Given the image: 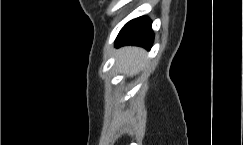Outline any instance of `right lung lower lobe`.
<instances>
[{
  "label": "right lung lower lobe",
  "instance_id": "98d812e1",
  "mask_svg": "<svg viewBox=\"0 0 243 145\" xmlns=\"http://www.w3.org/2000/svg\"><path fill=\"white\" fill-rule=\"evenodd\" d=\"M151 23L148 17H139L128 22L117 36L116 47L137 45L149 50L154 40Z\"/></svg>",
  "mask_w": 243,
  "mask_h": 145
}]
</instances>
